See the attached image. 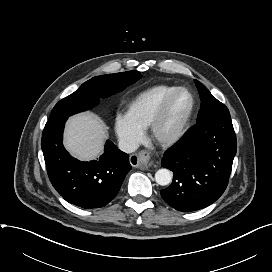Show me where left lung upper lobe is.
Returning a JSON list of instances; mask_svg holds the SVG:
<instances>
[{
  "label": "left lung upper lobe",
  "mask_w": 272,
  "mask_h": 272,
  "mask_svg": "<svg viewBox=\"0 0 272 272\" xmlns=\"http://www.w3.org/2000/svg\"><path fill=\"white\" fill-rule=\"evenodd\" d=\"M195 84L201 99V109L197 117V123L221 116H230L227 107L214 98L204 85L198 80H195Z\"/></svg>",
  "instance_id": "1"
}]
</instances>
